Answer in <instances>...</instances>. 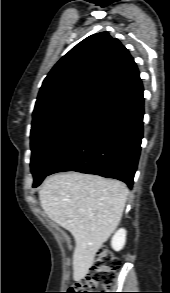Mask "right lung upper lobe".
<instances>
[{
	"label": "right lung upper lobe",
	"mask_w": 170,
	"mask_h": 293,
	"mask_svg": "<svg viewBox=\"0 0 170 293\" xmlns=\"http://www.w3.org/2000/svg\"><path fill=\"white\" fill-rule=\"evenodd\" d=\"M142 86L128 50L108 32L91 35L77 44L43 81L32 126L73 105L107 106Z\"/></svg>",
	"instance_id": "obj_1"
}]
</instances>
